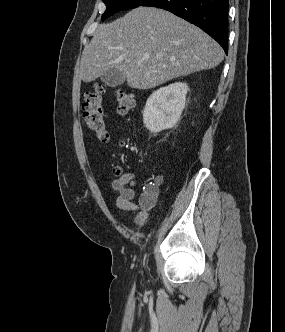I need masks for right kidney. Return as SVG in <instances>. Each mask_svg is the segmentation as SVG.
Returning <instances> with one entry per match:
<instances>
[{"mask_svg":"<svg viewBox=\"0 0 285 332\" xmlns=\"http://www.w3.org/2000/svg\"><path fill=\"white\" fill-rule=\"evenodd\" d=\"M188 85L176 82L153 92L147 99L143 122L151 133L176 125L185 107Z\"/></svg>","mask_w":285,"mask_h":332,"instance_id":"1","label":"right kidney"}]
</instances>
